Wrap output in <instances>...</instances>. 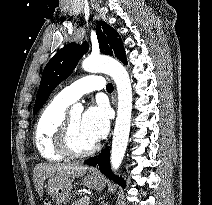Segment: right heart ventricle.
<instances>
[{"label": "right heart ventricle", "instance_id": "1", "mask_svg": "<svg viewBox=\"0 0 212 205\" xmlns=\"http://www.w3.org/2000/svg\"><path fill=\"white\" fill-rule=\"evenodd\" d=\"M69 103L54 97L40 112L34 131L35 145L41 156L48 161L65 158L56 147V134L66 115Z\"/></svg>", "mask_w": 212, "mask_h": 205}]
</instances>
